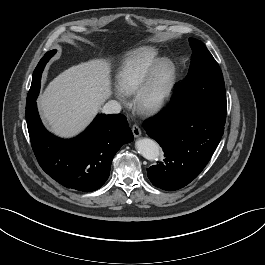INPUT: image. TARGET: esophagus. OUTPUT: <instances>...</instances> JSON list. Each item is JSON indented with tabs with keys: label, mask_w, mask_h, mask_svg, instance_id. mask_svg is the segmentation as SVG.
<instances>
[{
	"label": "esophagus",
	"mask_w": 265,
	"mask_h": 265,
	"mask_svg": "<svg viewBox=\"0 0 265 265\" xmlns=\"http://www.w3.org/2000/svg\"><path fill=\"white\" fill-rule=\"evenodd\" d=\"M132 132L135 138H138L141 136V129L138 125L134 124L132 126Z\"/></svg>",
	"instance_id": "1"
}]
</instances>
